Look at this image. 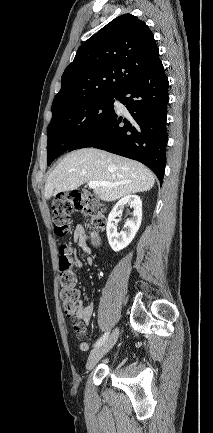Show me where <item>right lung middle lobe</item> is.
I'll return each mask as SVG.
<instances>
[{
	"instance_id": "1",
	"label": "right lung middle lobe",
	"mask_w": 213,
	"mask_h": 433,
	"mask_svg": "<svg viewBox=\"0 0 213 433\" xmlns=\"http://www.w3.org/2000/svg\"><path fill=\"white\" fill-rule=\"evenodd\" d=\"M120 95H99L68 105L53 114L47 128V164L94 133L114 115Z\"/></svg>"
}]
</instances>
